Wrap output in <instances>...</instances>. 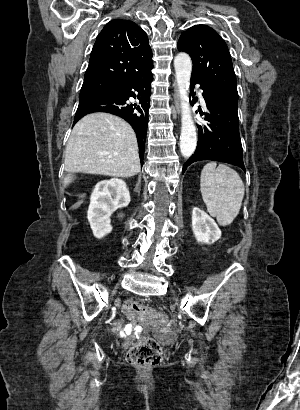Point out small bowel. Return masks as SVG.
<instances>
[{
    "label": "small bowel",
    "instance_id": "c3829d8e",
    "mask_svg": "<svg viewBox=\"0 0 300 410\" xmlns=\"http://www.w3.org/2000/svg\"><path fill=\"white\" fill-rule=\"evenodd\" d=\"M135 327L134 326H130V330H134ZM122 330V325L121 324H117L113 327V331L114 332H119Z\"/></svg>",
    "mask_w": 300,
    "mask_h": 410
}]
</instances>
